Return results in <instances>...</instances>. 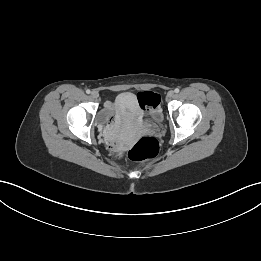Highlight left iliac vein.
<instances>
[{
	"label": "left iliac vein",
	"instance_id": "obj_1",
	"mask_svg": "<svg viewBox=\"0 0 261 261\" xmlns=\"http://www.w3.org/2000/svg\"><path fill=\"white\" fill-rule=\"evenodd\" d=\"M175 95L174 91L170 90L168 93H167V97L168 98H173Z\"/></svg>",
	"mask_w": 261,
	"mask_h": 261
}]
</instances>
